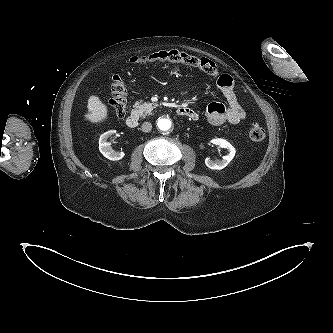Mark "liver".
<instances>
[{"instance_id":"liver-1","label":"liver","mask_w":333,"mask_h":333,"mask_svg":"<svg viewBox=\"0 0 333 333\" xmlns=\"http://www.w3.org/2000/svg\"><path fill=\"white\" fill-rule=\"evenodd\" d=\"M88 113L85 114V120L92 123L103 122L108 117L107 106L99 99L98 96L92 95L88 99Z\"/></svg>"}]
</instances>
